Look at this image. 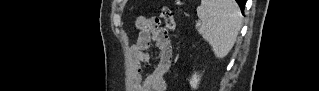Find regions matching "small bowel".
Here are the masks:
<instances>
[{"label": "small bowel", "mask_w": 319, "mask_h": 91, "mask_svg": "<svg viewBox=\"0 0 319 91\" xmlns=\"http://www.w3.org/2000/svg\"><path fill=\"white\" fill-rule=\"evenodd\" d=\"M136 27L139 31L138 39L131 48L134 59L132 90L165 91L173 57L170 35L155 18L140 17L136 21ZM152 44L157 49V63L153 70L143 77L140 72L142 62L149 59L148 50Z\"/></svg>", "instance_id": "1"}]
</instances>
